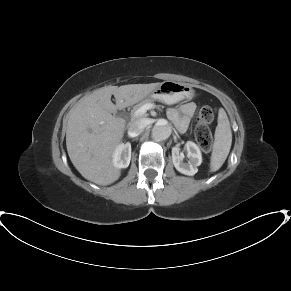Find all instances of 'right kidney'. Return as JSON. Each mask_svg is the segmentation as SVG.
Returning a JSON list of instances; mask_svg holds the SVG:
<instances>
[{
    "instance_id": "ca27d5eb",
    "label": "right kidney",
    "mask_w": 291,
    "mask_h": 291,
    "mask_svg": "<svg viewBox=\"0 0 291 291\" xmlns=\"http://www.w3.org/2000/svg\"><path fill=\"white\" fill-rule=\"evenodd\" d=\"M112 160L116 168H127L131 160V144L127 142L118 145L113 153Z\"/></svg>"
}]
</instances>
